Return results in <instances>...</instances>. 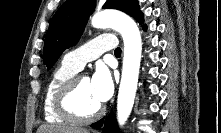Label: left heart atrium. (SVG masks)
<instances>
[{
	"label": "left heart atrium",
	"instance_id": "39dd6f15",
	"mask_svg": "<svg viewBox=\"0 0 221 133\" xmlns=\"http://www.w3.org/2000/svg\"><path fill=\"white\" fill-rule=\"evenodd\" d=\"M90 81L95 98L100 103L108 101L114 91L113 78L109 69L104 65H99Z\"/></svg>",
	"mask_w": 221,
	"mask_h": 133
}]
</instances>
